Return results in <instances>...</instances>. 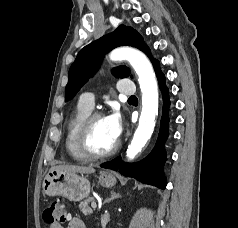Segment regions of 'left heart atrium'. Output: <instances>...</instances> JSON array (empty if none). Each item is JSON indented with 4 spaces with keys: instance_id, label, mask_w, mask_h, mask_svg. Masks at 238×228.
<instances>
[{
    "instance_id": "39dd6f15",
    "label": "left heart atrium",
    "mask_w": 238,
    "mask_h": 228,
    "mask_svg": "<svg viewBox=\"0 0 238 228\" xmlns=\"http://www.w3.org/2000/svg\"><path fill=\"white\" fill-rule=\"evenodd\" d=\"M106 118L111 134L118 140L123 131L122 119L118 112L109 114Z\"/></svg>"
}]
</instances>
